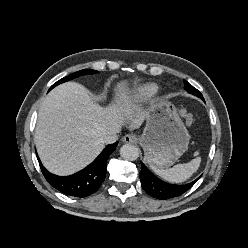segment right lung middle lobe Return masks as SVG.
<instances>
[{
    "mask_svg": "<svg viewBox=\"0 0 248 248\" xmlns=\"http://www.w3.org/2000/svg\"><path fill=\"white\" fill-rule=\"evenodd\" d=\"M97 73L96 70H92V69H84V70H80L78 72H75L73 74H70L69 76H66L62 79H60L59 81H57L55 84L52 85V87L50 88V90L52 88H54L55 86L63 83V82H66V81H69L71 79H74V78H77V77H80L81 75H87V74H95Z\"/></svg>",
    "mask_w": 248,
    "mask_h": 248,
    "instance_id": "right-lung-middle-lobe-1",
    "label": "right lung middle lobe"
}]
</instances>
